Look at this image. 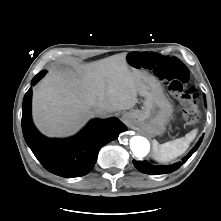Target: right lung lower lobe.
<instances>
[{
    "label": "right lung lower lobe",
    "instance_id": "1",
    "mask_svg": "<svg viewBox=\"0 0 221 221\" xmlns=\"http://www.w3.org/2000/svg\"><path fill=\"white\" fill-rule=\"evenodd\" d=\"M46 71L39 72L31 84H36ZM30 88L24 96L22 130L26 143L48 171L62 177H79L94 167L98 152L116 139L126 127L117 118L91 121L79 134L69 139H49L41 135L31 120Z\"/></svg>",
    "mask_w": 221,
    "mask_h": 221
}]
</instances>
